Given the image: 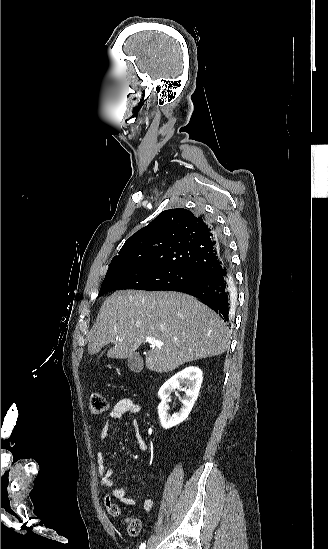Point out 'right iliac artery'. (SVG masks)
<instances>
[{
  "label": "right iliac artery",
  "instance_id": "right-iliac-artery-1",
  "mask_svg": "<svg viewBox=\"0 0 328 549\" xmlns=\"http://www.w3.org/2000/svg\"><path fill=\"white\" fill-rule=\"evenodd\" d=\"M145 548H146L145 543H142V544L140 545V547H139V549H145Z\"/></svg>",
  "mask_w": 328,
  "mask_h": 549
}]
</instances>
